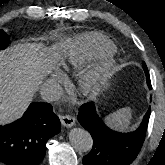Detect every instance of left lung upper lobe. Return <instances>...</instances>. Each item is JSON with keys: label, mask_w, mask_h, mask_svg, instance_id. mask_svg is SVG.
<instances>
[{"label": "left lung upper lobe", "mask_w": 165, "mask_h": 165, "mask_svg": "<svg viewBox=\"0 0 165 165\" xmlns=\"http://www.w3.org/2000/svg\"><path fill=\"white\" fill-rule=\"evenodd\" d=\"M142 66H143V69L145 71L146 80H147V84H148V87H149V86H151V82H150V76H149V72H148V69H147V66H146L145 62L142 63Z\"/></svg>", "instance_id": "1"}]
</instances>
